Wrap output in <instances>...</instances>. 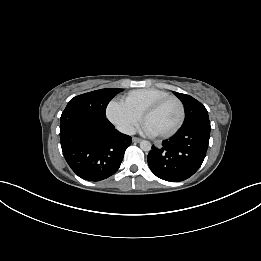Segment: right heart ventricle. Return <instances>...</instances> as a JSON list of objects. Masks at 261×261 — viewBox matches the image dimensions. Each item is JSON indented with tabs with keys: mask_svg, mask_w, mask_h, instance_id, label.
<instances>
[{
	"mask_svg": "<svg viewBox=\"0 0 261 261\" xmlns=\"http://www.w3.org/2000/svg\"><path fill=\"white\" fill-rule=\"evenodd\" d=\"M168 95V92L161 89L145 88L130 91L123 97L122 101L141 116L147 106Z\"/></svg>",
	"mask_w": 261,
	"mask_h": 261,
	"instance_id": "e07e8e85",
	"label": "right heart ventricle"
}]
</instances>
